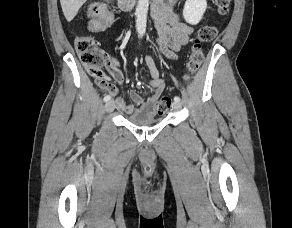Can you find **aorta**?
<instances>
[{"label": "aorta", "mask_w": 292, "mask_h": 228, "mask_svg": "<svg viewBox=\"0 0 292 228\" xmlns=\"http://www.w3.org/2000/svg\"><path fill=\"white\" fill-rule=\"evenodd\" d=\"M149 0H139L136 7V29L139 33H145Z\"/></svg>", "instance_id": "1"}]
</instances>
